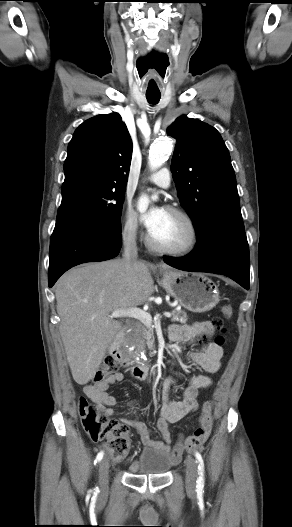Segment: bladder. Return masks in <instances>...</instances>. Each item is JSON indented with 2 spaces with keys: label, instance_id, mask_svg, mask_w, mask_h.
<instances>
[{
  "label": "bladder",
  "instance_id": "obj_1",
  "mask_svg": "<svg viewBox=\"0 0 292 527\" xmlns=\"http://www.w3.org/2000/svg\"><path fill=\"white\" fill-rule=\"evenodd\" d=\"M171 467L169 457L157 449H145L131 464L133 472L146 475H162Z\"/></svg>",
  "mask_w": 292,
  "mask_h": 527
}]
</instances>
